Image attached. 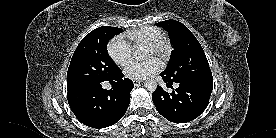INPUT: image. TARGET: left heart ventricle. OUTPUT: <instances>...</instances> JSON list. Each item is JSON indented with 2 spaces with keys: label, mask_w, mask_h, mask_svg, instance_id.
<instances>
[{
  "label": "left heart ventricle",
  "mask_w": 276,
  "mask_h": 138,
  "mask_svg": "<svg viewBox=\"0 0 276 138\" xmlns=\"http://www.w3.org/2000/svg\"><path fill=\"white\" fill-rule=\"evenodd\" d=\"M150 55H154V51L152 48H150Z\"/></svg>",
  "instance_id": "1"
}]
</instances>
